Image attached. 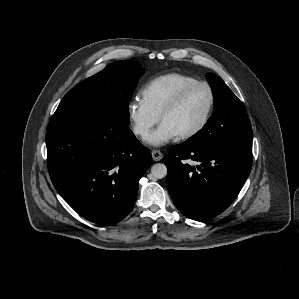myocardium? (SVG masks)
<instances>
[{
	"label": "myocardium",
	"mask_w": 299,
	"mask_h": 299,
	"mask_svg": "<svg viewBox=\"0 0 299 299\" xmlns=\"http://www.w3.org/2000/svg\"><path fill=\"white\" fill-rule=\"evenodd\" d=\"M197 86H202L207 89L209 94L208 107L201 122L192 130L179 135V138L181 139H190L197 136L208 125L215 106V93L212 86L206 81H194L185 85L173 96V98L166 104V106L162 109V111L159 114V120L162 121L163 117L175 110L180 105L185 96L188 94V92Z\"/></svg>",
	"instance_id": "1"
}]
</instances>
